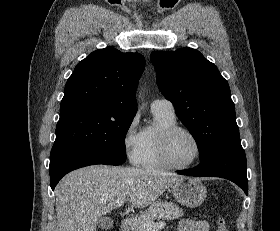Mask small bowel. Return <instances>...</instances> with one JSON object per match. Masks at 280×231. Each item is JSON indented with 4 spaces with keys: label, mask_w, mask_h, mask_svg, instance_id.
<instances>
[{
    "label": "small bowel",
    "mask_w": 280,
    "mask_h": 231,
    "mask_svg": "<svg viewBox=\"0 0 280 231\" xmlns=\"http://www.w3.org/2000/svg\"><path fill=\"white\" fill-rule=\"evenodd\" d=\"M177 231H209L208 223L205 220L182 219Z\"/></svg>",
    "instance_id": "1"
}]
</instances>
